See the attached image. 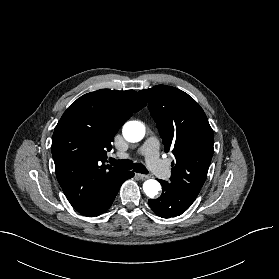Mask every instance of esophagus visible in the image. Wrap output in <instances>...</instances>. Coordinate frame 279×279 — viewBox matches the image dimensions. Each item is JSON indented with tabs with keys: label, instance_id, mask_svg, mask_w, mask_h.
<instances>
[{
	"label": "esophagus",
	"instance_id": "obj_1",
	"mask_svg": "<svg viewBox=\"0 0 279 279\" xmlns=\"http://www.w3.org/2000/svg\"><path fill=\"white\" fill-rule=\"evenodd\" d=\"M136 175H137L138 178H140L142 180L150 178V175H146V174H139V173H137Z\"/></svg>",
	"mask_w": 279,
	"mask_h": 279
}]
</instances>
